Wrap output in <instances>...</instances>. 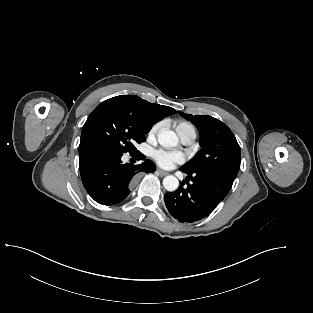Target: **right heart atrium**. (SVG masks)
<instances>
[{
	"label": "right heart atrium",
	"instance_id": "obj_1",
	"mask_svg": "<svg viewBox=\"0 0 313 313\" xmlns=\"http://www.w3.org/2000/svg\"><path fill=\"white\" fill-rule=\"evenodd\" d=\"M161 123H156L152 126V128L149 131V136L154 137L161 129Z\"/></svg>",
	"mask_w": 313,
	"mask_h": 313
}]
</instances>
